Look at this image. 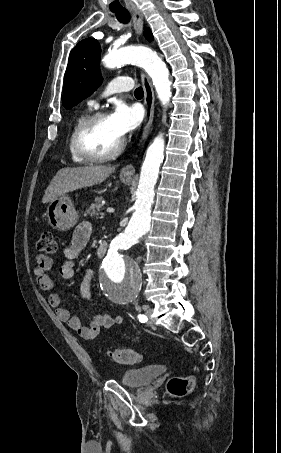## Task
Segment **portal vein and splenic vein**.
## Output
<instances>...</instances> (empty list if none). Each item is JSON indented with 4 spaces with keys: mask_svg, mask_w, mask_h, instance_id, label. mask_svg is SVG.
Returning <instances> with one entry per match:
<instances>
[{
    "mask_svg": "<svg viewBox=\"0 0 281 453\" xmlns=\"http://www.w3.org/2000/svg\"><path fill=\"white\" fill-rule=\"evenodd\" d=\"M107 212L110 214H115L116 212L114 211V208H107Z\"/></svg>",
    "mask_w": 281,
    "mask_h": 453,
    "instance_id": "obj_1",
    "label": "portal vein and splenic vein"
}]
</instances>
